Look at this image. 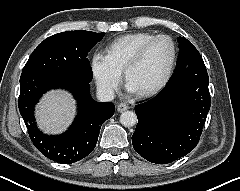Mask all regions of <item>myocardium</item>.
<instances>
[{
	"label": "myocardium",
	"mask_w": 240,
	"mask_h": 191,
	"mask_svg": "<svg viewBox=\"0 0 240 191\" xmlns=\"http://www.w3.org/2000/svg\"><path fill=\"white\" fill-rule=\"evenodd\" d=\"M167 40L170 45H171V59L168 65V68L166 70V73L164 75V77L162 78V80L156 84L155 86L148 88V89H144L141 91H138V94L142 97H148V96H152L156 93H158L160 90H162L167 83L169 82L175 64H176V59H177V48L175 45L174 40L168 36V35H164V34H160V35H155L152 38H150L148 41H146L140 48L139 50L136 52V54L131 58V60L126 64L123 72H124V77L125 80L127 81L128 79V75L130 73V71L136 67L144 58L145 54L147 53L149 47L157 40Z\"/></svg>",
	"instance_id": "myocardium-1"
}]
</instances>
